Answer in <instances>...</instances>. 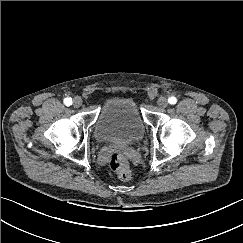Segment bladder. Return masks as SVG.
<instances>
[{
  "instance_id": "obj_1",
  "label": "bladder",
  "mask_w": 243,
  "mask_h": 243,
  "mask_svg": "<svg viewBox=\"0 0 243 243\" xmlns=\"http://www.w3.org/2000/svg\"><path fill=\"white\" fill-rule=\"evenodd\" d=\"M144 122L137 104L130 98L113 97L101 106L94 123V136L98 142H116L129 146L144 135Z\"/></svg>"
}]
</instances>
